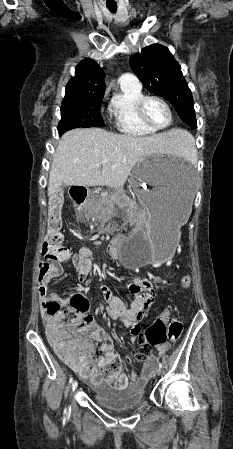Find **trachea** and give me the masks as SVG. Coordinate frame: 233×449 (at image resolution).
Here are the masks:
<instances>
[{
  "label": "trachea",
  "instance_id": "trachea-1",
  "mask_svg": "<svg viewBox=\"0 0 233 449\" xmlns=\"http://www.w3.org/2000/svg\"><path fill=\"white\" fill-rule=\"evenodd\" d=\"M110 12L115 13L117 10V6H107Z\"/></svg>",
  "mask_w": 233,
  "mask_h": 449
}]
</instances>
